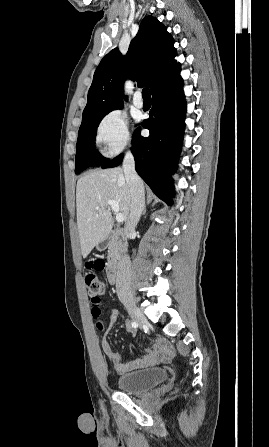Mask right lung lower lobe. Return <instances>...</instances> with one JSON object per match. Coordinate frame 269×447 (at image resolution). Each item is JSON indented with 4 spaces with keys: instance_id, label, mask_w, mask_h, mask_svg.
Returning <instances> with one entry per match:
<instances>
[{
    "instance_id": "right-lung-lower-lobe-1",
    "label": "right lung lower lobe",
    "mask_w": 269,
    "mask_h": 447,
    "mask_svg": "<svg viewBox=\"0 0 269 447\" xmlns=\"http://www.w3.org/2000/svg\"><path fill=\"white\" fill-rule=\"evenodd\" d=\"M180 67L159 81L151 90L153 107L150 118L141 125L150 131V136L140 135L138 127L132 139L135 169L154 193L168 205L174 197L173 180L182 146L186 103L182 91ZM123 154L100 165L102 168L121 164Z\"/></svg>"
}]
</instances>
